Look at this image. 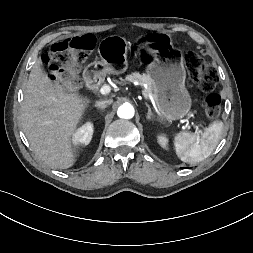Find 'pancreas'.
I'll return each instance as SVG.
<instances>
[{
    "instance_id": "pancreas-1",
    "label": "pancreas",
    "mask_w": 253,
    "mask_h": 253,
    "mask_svg": "<svg viewBox=\"0 0 253 253\" xmlns=\"http://www.w3.org/2000/svg\"><path fill=\"white\" fill-rule=\"evenodd\" d=\"M125 80L130 82L136 81L140 84H147L148 88L144 90V94L146 96L152 94V96L155 98V93L154 94L152 93V91L154 90L152 87V83L146 75L134 73L132 75H128Z\"/></svg>"
}]
</instances>
